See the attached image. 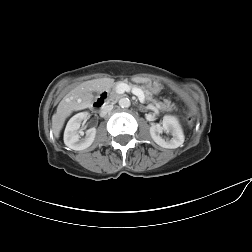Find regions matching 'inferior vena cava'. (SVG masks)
<instances>
[{"label": "inferior vena cava", "mask_w": 252, "mask_h": 252, "mask_svg": "<svg viewBox=\"0 0 252 252\" xmlns=\"http://www.w3.org/2000/svg\"><path fill=\"white\" fill-rule=\"evenodd\" d=\"M113 109V105H105L101 108L100 115L105 116L107 113H109Z\"/></svg>", "instance_id": "inferior-vena-cava-1"}]
</instances>
